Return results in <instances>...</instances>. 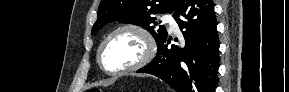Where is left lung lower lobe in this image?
<instances>
[{"mask_svg":"<svg viewBox=\"0 0 289 92\" xmlns=\"http://www.w3.org/2000/svg\"><path fill=\"white\" fill-rule=\"evenodd\" d=\"M173 13L183 44L170 46L172 38L166 37L156 57L137 72L155 75L177 92H215L220 43L213 2L180 0Z\"/></svg>","mask_w":289,"mask_h":92,"instance_id":"obj_1","label":"left lung lower lobe"}]
</instances>
